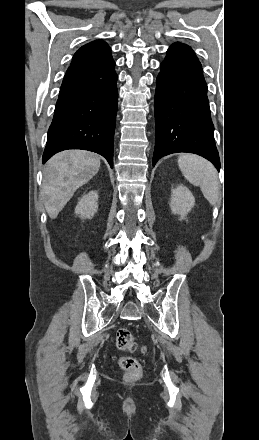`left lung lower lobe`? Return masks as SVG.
Wrapping results in <instances>:
<instances>
[{
  "label": "left lung lower lobe",
  "instance_id": "1",
  "mask_svg": "<svg viewBox=\"0 0 259 440\" xmlns=\"http://www.w3.org/2000/svg\"><path fill=\"white\" fill-rule=\"evenodd\" d=\"M155 92L156 141L153 166L177 152L198 154L220 169L207 84L193 50L174 43L160 65Z\"/></svg>",
  "mask_w": 259,
  "mask_h": 440
}]
</instances>
